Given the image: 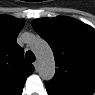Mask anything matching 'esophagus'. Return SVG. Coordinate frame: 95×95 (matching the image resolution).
I'll list each match as a JSON object with an SVG mask.
<instances>
[{
  "label": "esophagus",
  "instance_id": "esophagus-1",
  "mask_svg": "<svg viewBox=\"0 0 95 95\" xmlns=\"http://www.w3.org/2000/svg\"><path fill=\"white\" fill-rule=\"evenodd\" d=\"M33 65H34V67H35V70L37 71V70H38V61H35V62L33 63Z\"/></svg>",
  "mask_w": 95,
  "mask_h": 95
}]
</instances>
